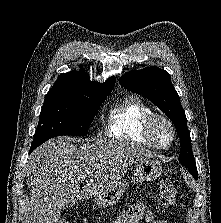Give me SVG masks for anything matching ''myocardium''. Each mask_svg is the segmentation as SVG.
<instances>
[{
  "label": "myocardium",
  "mask_w": 221,
  "mask_h": 223,
  "mask_svg": "<svg viewBox=\"0 0 221 223\" xmlns=\"http://www.w3.org/2000/svg\"><path fill=\"white\" fill-rule=\"evenodd\" d=\"M158 123H162L167 126L171 133V140L166 145L160 143L155 136V127ZM143 135L145 139L148 140L157 149L166 150L174 144L176 139V130L172 121L167 116L160 113H152L145 121Z\"/></svg>",
  "instance_id": "obj_1"
}]
</instances>
